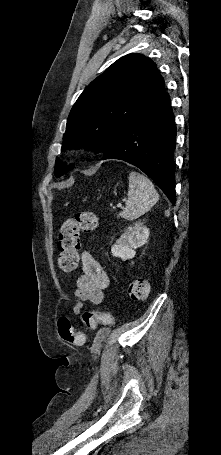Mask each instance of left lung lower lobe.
Here are the masks:
<instances>
[{"mask_svg":"<svg viewBox=\"0 0 221 455\" xmlns=\"http://www.w3.org/2000/svg\"><path fill=\"white\" fill-rule=\"evenodd\" d=\"M176 126L168 93L129 123L103 152V160H124L140 168L175 203L173 153Z\"/></svg>","mask_w":221,"mask_h":455,"instance_id":"left-lung-lower-lobe-1","label":"left lung lower lobe"}]
</instances>
